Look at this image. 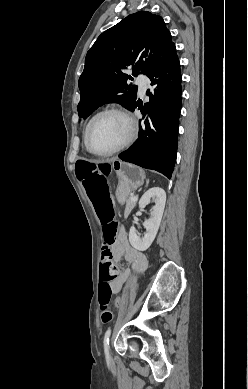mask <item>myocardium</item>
<instances>
[{"label":"myocardium","instance_id":"f54148a6","mask_svg":"<svg viewBox=\"0 0 248 389\" xmlns=\"http://www.w3.org/2000/svg\"><path fill=\"white\" fill-rule=\"evenodd\" d=\"M107 114H116V115H119L120 117H122L128 125V134H127L126 138L124 139V141L121 144H119L118 146H116L115 148H113L109 151H106V152H96V151L92 150L89 146V142H88L89 132H90L92 125L95 123V121L98 120L100 117L107 115ZM136 135H137V124H136L135 119L132 117V115L121 107L111 106V107H107V108L101 110L100 112L95 114L90 119V121L88 122L86 129H85L84 143H85L86 149L91 154L96 155V156H100V157H107V156L114 155V154L122 151L126 147H128L134 141Z\"/></svg>","mask_w":248,"mask_h":389}]
</instances>
